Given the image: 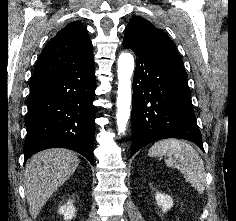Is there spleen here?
I'll return each instance as SVG.
<instances>
[{"instance_id":"1","label":"spleen","mask_w":236,"mask_h":221,"mask_svg":"<svg viewBox=\"0 0 236 221\" xmlns=\"http://www.w3.org/2000/svg\"><path fill=\"white\" fill-rule=\"evenodd\" d=\"M149 155L166 156L165 163L168 167L180 170L184 178L199 193L204 192L206 185L204 163L193 146L173 138L159 140L149 149Z\"/></svg>"}]
</instances>
